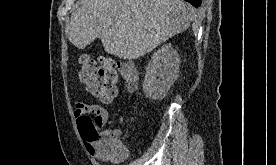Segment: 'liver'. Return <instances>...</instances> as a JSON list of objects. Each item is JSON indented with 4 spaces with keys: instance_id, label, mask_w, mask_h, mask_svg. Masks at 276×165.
<instances>
[{
    "instance_id": "obj_1",
    "label": "liver",
    "mask_w": 276,
    "mask_h": 165,
    "mask_svg": "<svg viewBox=\"0 0 276 165\" xmlns=\"http://www.w3.org/2000/svg\"><path fill=\"white\" fill-rule=\"evenodd\" d=\"M196 19L183 0H84L72 13L69 41L84 49L96 38L105 52L138 59L179 34Z\"/></svg>"
}]
</instances>
